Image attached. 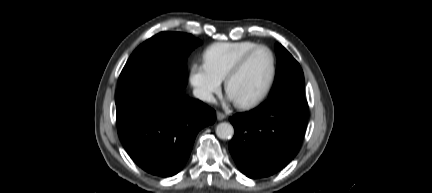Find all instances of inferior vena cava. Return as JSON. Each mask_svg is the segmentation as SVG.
<instances>
[{
  "instance_id": "1",
  "label": "inferior vena cava",
  "mask_w": 432,
  "mask_h": 193,
  "mask_svg": "<svg viewBox=\"0 0 432 193\" xmlns=\"http://www.w3.org/2000/svg\"><path fill=\"white\" fill-rule=\"evenodd\" d=\"M193 95L203 101L206 102H214L215 98L209 90L203 88H195L193 90Z\"/></svg>"
}]
</instances>
